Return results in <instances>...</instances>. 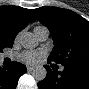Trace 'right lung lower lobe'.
Masks as SVG:
<instances>
[{
  "label": "right lung lower lobe",
  "instance_id": "1",
  "mask_svg": "<svg viewBox=\"0 0 89 89\" xmlns=\"http://www.w3.org/2000/svg\"><path fill=\"white\" fill-rule=\"evenodd\" d=\"M26 72V66L12 62L10 66L0 69V89H15L21 75Z\"/></svg>",
  "mask_w": 89,
  "mask_h": 89
}]
</instances>
